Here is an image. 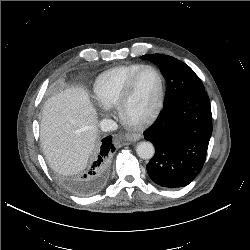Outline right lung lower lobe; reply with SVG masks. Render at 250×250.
<instances>
[{
  "mask_svg": "<svg viewBox=\"0 0 250 250\" xmlns=\"http://www.w3.org/2000/svg\"><path fill=\"white\" fill-rule=\"evenodd\" d=\"M114 151L112 136H107L102 140L98 158L77 185L81 195L89 196L95 194L105 185L108 178L109 156Z\"/></svg>",
  "mask_w": 250,
  "mask_h": 250,
  "instance_id": "obj_1",
  "label": "right lung lower lobe"
}]
</instances>
